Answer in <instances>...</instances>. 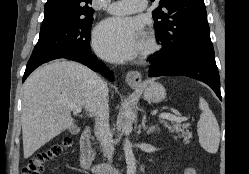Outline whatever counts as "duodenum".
<instances>
[{"label":"duodenum","instance_id":"410a0bca","mask_svg":"<svg viewBox=\"0 0 249 174\" xmlns=\"http://www.w3.org/2000/svg\"><path fill=\"white\" fill-rule=\"evenodd\" d=\"M91 128L85 127L80 138V168L86 174H120V169L108 164H92Z\"/></svg>","mask_w":249,"mask_h":174}]
</instances>
